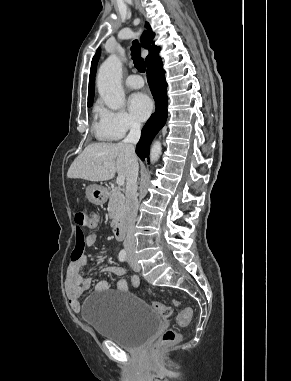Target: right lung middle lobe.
Returning <instances> with one entry per match:
<instances>
[{
    "instance_id": "dd1d6c3e",
    "label": "right lung middle lobe",
    "mask_w": 291,
    "mask_h": 381,
    "mask_svg": "<svg viewBox=\"0 0 291 381\" xmlns=\"http://www.w3.org/2000/svg\"><path fill=\"white\" fill-rule=\"evenodd\" d=\"M92 105V103L88 104V107H90Z\"/></svg>"
}]
</instances>
